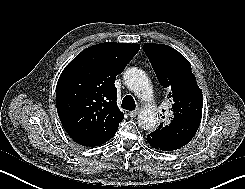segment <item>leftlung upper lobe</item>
<instances>
[{"label": "left lung upper lobe", "instance_id": "obj_1", "mask_svg": "<svg viewBox=\"0 0 245 189\" xmlns=\"http://www.w3.org/2000/svg\"><path fill=\"white\" fill-rule=\"evenodd\" d=\"M144 51L167 98L172 115L147 136L166 151L179 149L194 137L202 117V90L197 85L189 61L168 45L145 43ZM165 118V117H163Z\"/></svg>", "mask_w": 245, "mask_h": 189}]
</instances>
